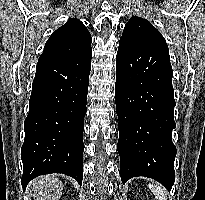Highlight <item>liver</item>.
<instances>
[{"label": "liver", "mask_w": 205, "mask_h": 200, "mask_svg": "<svg viewBox=\"0 0 205 200\" xmlns=\"http://www.w3.org/2000/svg\"><path fill=\"white\" fill-rule=\"evenodd\" d=\"M29 189L35 200H58L62 196L63 184L53 175H44L34 179Z\"/></svg>", "instance_id": "obj_1"}]
</instances>
